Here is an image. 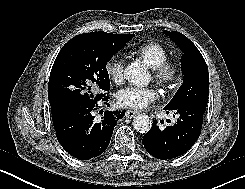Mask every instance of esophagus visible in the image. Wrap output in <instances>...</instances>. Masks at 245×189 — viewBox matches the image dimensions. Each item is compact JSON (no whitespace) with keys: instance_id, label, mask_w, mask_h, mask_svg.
<instances>
[{"instance_id":"34e87169","label":"esophagus","mask_w":245,"mask_h":189,"mask_svg":"<svg viewBox=\"0 0 245 189\" xmlns=\"http://www.w3.org/2000/svg\"><path fill=\"white\" fill-rule=\"evenodd\" d=\"M136 114H138V111L133 110V109H129V110L126 112V117H127V118H133Z\"/></svg>"}]
</instances>
